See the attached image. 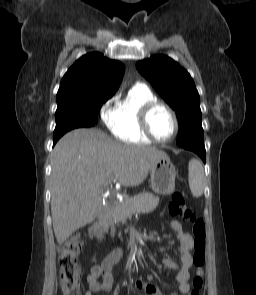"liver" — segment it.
Returning a JSON list of instances; mask_svg holds the SVG:
<instances>
[{"label": "liver", "instance_id": "6515ba94", "mask_svg": "<svg viewBox=\"0 0 256 295\" xmlns=\"http://www.w3.org/2000/svg\"><path fill=\"white\" fill-rule=\"evenodd\" d=\"M167 154L122 144L99 129H75L55 145L51 161V214L59 245L97 217L101 191L111 181L138 186Z\"/></svg>", "mask_w": 256, "mask_h": 295}]
</instances>
